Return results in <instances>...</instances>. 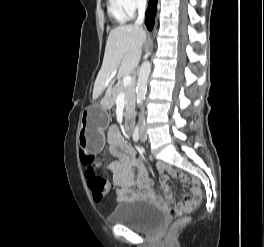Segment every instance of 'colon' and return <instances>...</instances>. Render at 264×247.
<instances>
[{
	"label": "colon",
	"mask_w": 264,
	"mask_h": 247,
	"mask_svg": "<svg viewBox=\"0 0 264 247\" xmlns=\"http://www.w3.org/2000/svg\"><path fill=\"white\" fill-rule=\"evenodd\" d=\"M83 163L89 165L86 171V178L88 186L92 191L93 198L98 201H104L110 192V183L109 181L97 174L94 168L95 156L93 154H83L81 156ZM185 182L197 187V183L192 178H185ZM200 200V195L198 193L191 194L184 197L180 202H175L171 206L170 214L176 218L173 227H178L187 222L189 214L197 206Z\"/></svg>",
	"instance_id": "obj_1"
}]
</instances>
